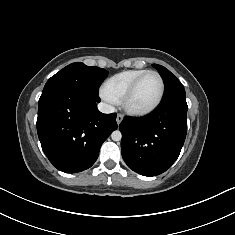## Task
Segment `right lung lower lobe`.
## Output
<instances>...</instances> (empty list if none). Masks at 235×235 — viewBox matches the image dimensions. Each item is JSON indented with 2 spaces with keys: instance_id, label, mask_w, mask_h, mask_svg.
<instances>
[{
  "instance_id": "98d812e1",
  "label": "right lung lower lobe",
  "mask_w": 235,
  "mask_h": 235,
  "mask_svg": "<svg viewBox=\"0 0 235 235\" xmlns=\"http://www.w3.org/2000/svg\"><path fill=\"white\" fill-rule=\"evenodd\" d=\"M98 95L75 88L43 92L38 102L37 132L45 155L58 170L90 168L102 143L117 129L116 113L97 109Z\"/></svg>"
}]
</instances>
